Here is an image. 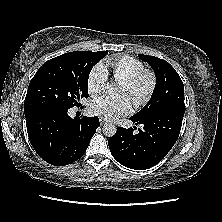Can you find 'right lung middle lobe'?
<instances>
[{"instance_id": "obj_1", "label": "right lung middle lobe", "mask_w": 222, "mask_h": 222, "mask_svg": "<svg viewBox=\"0 0 222 222\" xmlns=\"http://www.w3.org/2000/svg\"><path fill=\"white\" fill-rule=\"evenodd\" d=\"M108 51L65 53L46 61L32 78L24 101L25 114L45 108L69 109L88 97L93 66Z\"/></svg>"}]
</instances>
